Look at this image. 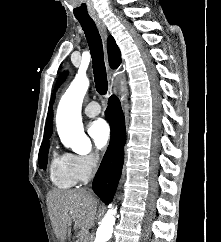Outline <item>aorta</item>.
<instances>
[{
  "label": "aorta",
  "instance_id": "obj_1",
  "mask_svg": "<svg viewBox=\"0 0 221 242\" xmlns=\"http://www.w3.org/2000/svg\"><path fill=\"white\" fill-rule=\"evenodd\" d=\"M89 87V79L85 75H77L62 96L57 109V130L65 144L77 153H85L90 149V140L84 133L81 107ZM100 222L94 242H107L112 236L115 224L116 208L112 205Z\"/></svg>",
  "mask_w": 221,
  "mask_h": 242
}]
</instances>
